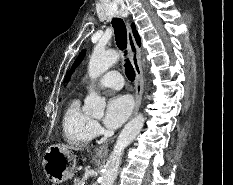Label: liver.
Here are the masks:
<instances>
[{"instance_id": "obj_1", "label": "liver", "mask_w": 233, "mask_h": 185, "mask_svg": "<svg viewBox=\"0 0 233 185\" xmlns=\"http://www.w3.org/2000/svg\"><path fill=\"white\" fill-rule=\"evenodd\" d=\"M57 146L63 148V149H74V150H79L78 148H74L72 146H67V145H61V144H57Z\"/></svg>"}]
</instances>
